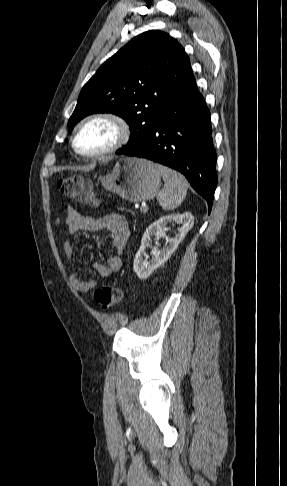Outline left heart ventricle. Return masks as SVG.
Listing matches in <instances>:
<instances>
[{"label":"left heart ventricle","instance_id":"left-heart-ventricle-1","mask_svg":"<svg viewBox=\"0 0 287 486\" xmlns=\"http://www.w3.org/2000/svg\"><path fill=\"white\" fill-rule=\"evenodd\" d=\"M115 137V128L110 123L96 121L79 133L77 146L83 152H95L111 145Z\"/></svg>","mask_w":287,"mask_h":486}]
</instances>
